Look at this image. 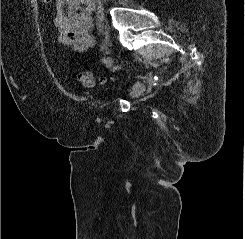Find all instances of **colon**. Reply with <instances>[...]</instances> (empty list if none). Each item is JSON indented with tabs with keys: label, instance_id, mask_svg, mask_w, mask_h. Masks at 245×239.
<instances>
[{
	"label": "colon",
	"instance_id": "obj_1",
	"mask_svg": "<svg viewBox=\"0 0 245 239\" xmlns=\"http://www.w3.org/2000/svg\"><path fill=\"white\" fill-rule=\"evenodd\" d=\"M42 1L45 3H49L52 0H42ZM78 81L85 88H94L96 86L106 85L107 83L114 81V78L112 77L111 78H106V77L96 78L92 73L88 71H83L79 73Z\"/></svg>",
	"mask_w": 245,
	"mask_h": 239
}]
</instances>
